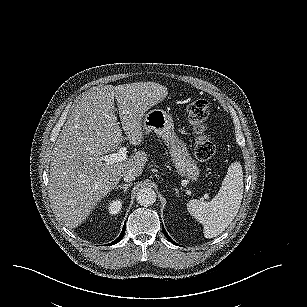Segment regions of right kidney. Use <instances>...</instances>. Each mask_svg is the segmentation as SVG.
Listing matches in <instances>:
<instances>
[{
  "label": "right kidney",
  "instance_id": "right-kidney-1",
  "mask_svg": "<svg viewBox=\"0 0 307 307\" xmlns=\"http://www.w3.org/2000/svg\"><path fill=\"white\" fill-rule=\"evenodd\" d=\"M106 208L108 209L110 215H116L120 212L122 208V201L120 200L110 201L106 206Z\"/></svg>",
  "mask_w": 307,
  "mask_h": 307
}]
</instances>
